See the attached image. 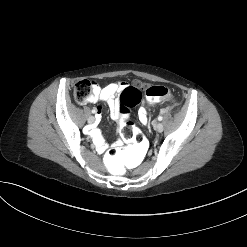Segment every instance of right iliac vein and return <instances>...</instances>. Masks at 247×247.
<instances>
[{
    "label": "right iliac vein",
    "mask_w": 247,
    "mask_h": 247,
    "mask_svg": "<svg viewBox=\"0 0 247 247\" xmlns=\"http://www.w3.org/2000/svg\"><path fill=\"white\" fill-rule=\"evenodd\" d=\"M94 121H95V118L93 116L88 117V123L92 124L94 123Z\"/></svg>",
    "instance_id": "63e3f726"
}]
</instances>
